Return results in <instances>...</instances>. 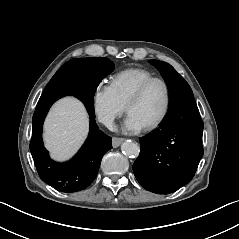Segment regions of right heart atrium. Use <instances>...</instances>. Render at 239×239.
<instances>
[{"label":"right heart atrium","mask_w":239,"mask_h":239,"mask_svg":"<svg viewBox=\"0 0 239 239\" xmlns=\"http://www.w3.org/2000/svg\"><path fill=\"white\" fill-rule=\"evenodd\" d=\"M94 113L100 121L108 127L115 124V120L126 110V106L119 100L110 84H97L92 93Z\"/></svg>","instance_id":"obj_1"}]
</instances>
